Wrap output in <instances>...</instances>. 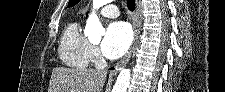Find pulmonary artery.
<instances>
[{
	"instance_id": "obj_1",
	"label": "pulmonary artery",
	"mask_w": 225,
	"mask_h": 92,
	"mask_svg": "<svg viewBox=\"0 0 225 92\" xmlns=\"http://www.w3.org/2000/svg\"><path fill=\"white\" fill-rule=\"evenodd\" d=\"M104 7L100 10V14L109 17V18H115L118 17L119 11L117 6L112 3L110 0H103Z\"/></svg>"
}]
</instances>
